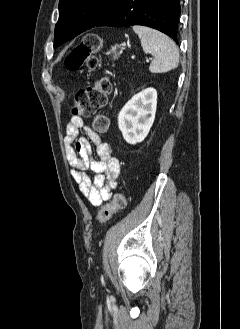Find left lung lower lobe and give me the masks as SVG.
I'll return each instance as SVG.
<instances>
[{
	"instance_id": "obj_1",
	"label": "left lung lower lobe",
	"mask_w": 240,
	"mask_h": 329,
	"mask_svg": "<svg viewBox=\"0 0 240 329\" xmlns=\"http://www.w3.org/2000/svg\"><path fill=\"white\" fill-rule=\"evenodd\" d=\"M180 12V0H119L95 26H148L178 43Z\"/></svg>"
}]
</instances>
